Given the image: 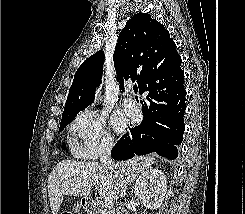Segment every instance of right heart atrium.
Here are the masks:
<instances>
[{
  "label": "right heart atrium",
  "instance_id": "right-heart-atrium-1",
  "mask_svg": "<svg viewBox=\"0 0 245 214\" xmlns=\"http://www.w3.org/2000/svg\"><path fill=\"white\" fill-rule=\"evenodd\" d=\"M69 131L71 149L78 158L96 159L109 152L113 145L105 120L91 110L81 111Z\"/></svg>",
  "mask_w": 245,
  "mask_h": 214
}]
</instances>
